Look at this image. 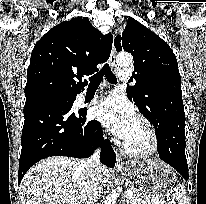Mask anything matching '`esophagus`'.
<instances>
[{
    "label": "esophagus",
    "instance_id": "34e87169",
    "mask_svg": "<svg viewBox=\"0 0 206 204\" xmlns=\"http://www.w3.org/2000/svg\"><path fill=\"white\" fill-rule=\"evenodd\" d=\"M109 64H110L111 68H113V69L116 68V50H115L114 43L112 45V50H111V54L109 57ZM124 167H125V164L122 160V157L119 154H117L116 168L122 169Z\"/></svg>",
    "mask_w": 206,
    "mask_h": 204
}]
</instances>
